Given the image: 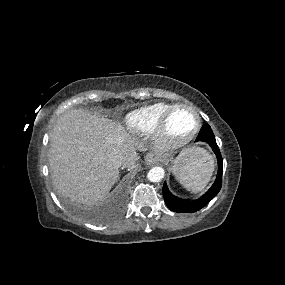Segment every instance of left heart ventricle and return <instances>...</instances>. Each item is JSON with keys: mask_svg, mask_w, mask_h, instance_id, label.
<instances>
[{"mask_svg": "<svg viewBox=\"0 0 285 285\" xmlns=\"http://www.w3.org/2000/svg\"><path fill=\"white\" fill-rule=\"evenodd\" d=\"M195 116L185 110L175 112L168 124V132L171 136L180 138L187 135L195 126Z\"/></svg>", "mask_w": 285, "mask_h": 285, "instance_id": "b2bd125f", "label": "left heart ventricle"}]
</instances>
